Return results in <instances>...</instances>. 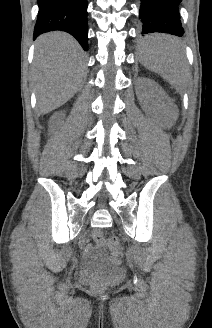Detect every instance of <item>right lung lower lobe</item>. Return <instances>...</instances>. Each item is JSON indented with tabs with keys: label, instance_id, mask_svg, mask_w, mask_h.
<instances>
[{
	"label": "right lung lower lobe",
	"instance_id": "98d812e1",
	"mask_svg": "<svg viewBox=\"0 0 212 328\" xmlns=\"http://www.w3.org/2000/svg\"><path fill=\"white\" fill-rule=\"evenodd\" d=\"M39 12L34 38L61 30L73 35L88 50L87 0H37Z\"/></svg>",
	"mask_w": 212,
	"mask_h": 328
}]
</instances>
